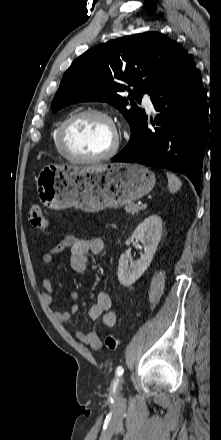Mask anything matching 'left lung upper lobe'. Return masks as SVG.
Here are the masks:
<instances>
[{
  "mask_svg": "<svg viewBox=\"0 0 221 440\" xmlns=\"http://www.w3.org/2000/svg\"><path fill=\"white\" fill-rule=\"evenodd\" d=\"M181 54L173 40L157 32L125 36L98 45L78 57L64 73L52 111L81 101L108 102L122 112L133 133L145 112L132 100L141 102L143 93L151 94ZM126 90L128 98L119 95ZM129 104L131 108H127Z\"/></svg>",
  "mask_w": 221,
  "mask_h": 440,
  "instance_id": "left-lung-upper-lobe-1",
  "label": "left lung upper lobe"
}]
</instances>
